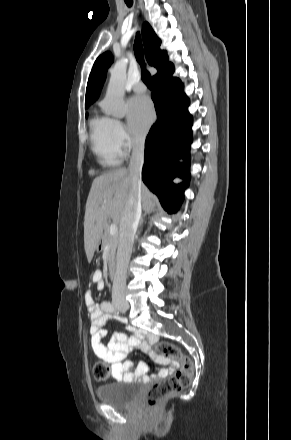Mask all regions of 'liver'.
<instances>
[{
  "label": "liver",
  "mask_w": 291,
  "mask_h": 440,
  "mask_svg": "<svg viewBox=\"0 0 291 440\" xmlns=\"http://www.w3.org/2000/svg\"><path fill=\"white\" fill-rule=\"evenodd\" d=\"M131 191V177L125 168L115 169L96 177L88 195L84 218V247L87 259L93 258L109 218L120 224ZM143 209L150 213L156 204L155 196L141 186Z\"/></svg>",
  "instance_id": "obj_1"
}]
</instances>
